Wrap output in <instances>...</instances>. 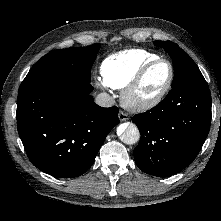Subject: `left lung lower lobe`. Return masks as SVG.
Returning a JSON list of instances; mask_svg holds the SVG:
<instances>
[{"label": "left lung lower lobe", "mask_w": 221, "mask_h": 221, "mask_svg": "<svg viewBox=\"0 0 221 221\" xmlns=\"http://www.w3.org/2000/svg\"><path fill=\"white\" fill-rule=\"evenodd\" d=\"M141 138L137 166L154 176H171L191 164L208 136L211 95L206 82L172 88L154 108L135 115Z\"/></svg>", "instance_id": "0a47b994"}]
</instances>
